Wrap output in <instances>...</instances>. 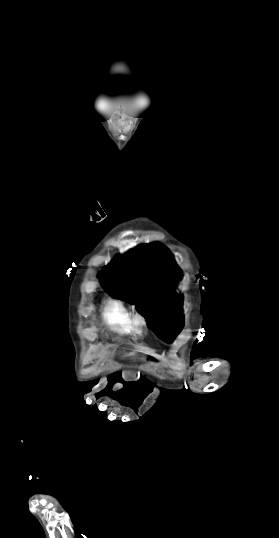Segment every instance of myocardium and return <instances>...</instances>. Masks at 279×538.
<instances>
[{"instance_id": "obj_1", "label": "myocardium", "mask_w": 279, "mask_h": 538, "mask_svg": "<svg viewBox=\"0 0 279 538\" xmlns=\"http://www.w3.org/2000/svg\"><path fill=\"white\" fill-rule=\"evenodd\" d=\"M146 321L140 315H134L131 319V332L136 335H142L145 331Z\"/></svg>"}]
</instances>
